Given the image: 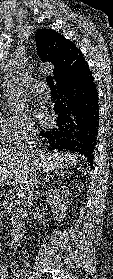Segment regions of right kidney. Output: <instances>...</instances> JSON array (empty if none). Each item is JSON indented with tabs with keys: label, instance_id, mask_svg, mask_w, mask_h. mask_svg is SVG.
Listing matches in <instances>:
<instances>
[{
	"label": "right kidney",
	"instance_id": "ca27d5eb",
	"mask_svg": "<svg viewBox=\"0 0 113 279\" xmlns=\"http://www.w3.org/2000/svg\"><path fill=\"white\" fill-rule=\"evenodd\" d=\"M69 190L66 187L60 189H54L47 195V202L53 210L54 218L60 222L66 215L68 209L69 200Z\"/></svg>",
	"mask_w": 113,
	"mask_h": 279
}]
</instances>
